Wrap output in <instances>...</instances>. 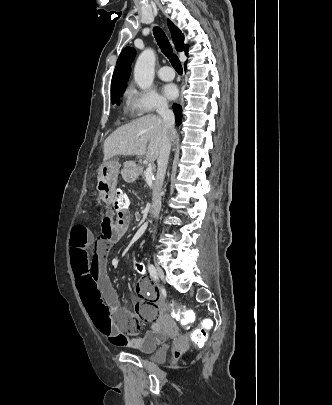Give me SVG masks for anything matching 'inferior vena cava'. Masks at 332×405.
Masks as SVG:
<instances>
[{"instance_id":"inferior-vena-cava-1","label":"inferior vena cava","mask_w":332,"mask_h":405,"mask_svg":"<svg viewBox=\"0 0 332 405\" xmlns=\"http://www.w3.org/2000/svg\"><path fill=\"white\" fill-rule=\"evenodd\" d=\"M157 113L162 120L165 128L162 146L160 149L159 156L157 158V174L156 180L153 186V197H152V213L154 217H158L161 210V187L164 182L166 168L168 164L170 149H171V135L175 132L174 123L175 117L174 113L169 110L168 103L166 101H161L157 106Z\"/></svg>"}]
</instances>
